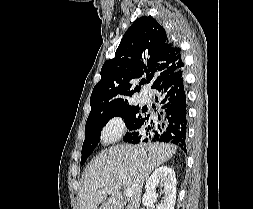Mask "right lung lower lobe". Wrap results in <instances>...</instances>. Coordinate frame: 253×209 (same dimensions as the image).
<instances>
[{"label": "right lung lower lobe", "mask_w": 253, "mask_h": 209, "mask_svg": "<svg viewBox=\"0 0 253 209\" xmlns=\"http://www.w3.org/2000/svg\"><path fill=\"white\" fill-rule=\"evenodd\" d=\"M156 90L159 92V97H155L156 101L160 99V103L164 104L162 119L160 115L158 120L143 117L141 126L123 140L133 144L150 140L170 142L186 152V95L182 70L165 79Z\"/></svg>", "instance_id": "right-lung-lower-lobe-1"}]
</instances>
